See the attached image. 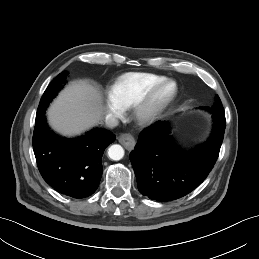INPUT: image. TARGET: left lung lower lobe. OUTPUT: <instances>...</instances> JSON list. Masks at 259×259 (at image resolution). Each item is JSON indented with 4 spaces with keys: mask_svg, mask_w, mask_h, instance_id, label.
Instances as JSON below:
<instances>
[{
    "mask_svg": "<svg viewBox=\"0 0 259 259\" xmlns=\"http://www.w3.org/2000/svg\"><path fill=\"white\" fill-rule=\"evenodd\" d=\"M212 115V135L194 151L176 148L165 121L140 133L130 160L142 195L156 201H171L189 194L205 180L218 158L226 127L224 114Z\"/></svg>",
    "mask_w": 259,
    "mask_h": 259,
    "instance_id": "0a47b994",
    "label": "left lung lower lobe"
}]
</instances>
